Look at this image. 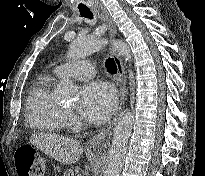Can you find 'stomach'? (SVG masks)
I'll return each mask as SVG.
<instances>
[{"label":"stomach","mask_w":205,"mask_h":176,"mask_svg":"<svg viewBox=\"0 0 205 176\" xmlns=\"http://www.w3.org/2000/svg\"><path fill=\"white\" fill-rule=\"evenodd\" d=\"M31 147V146H30ZM32 148V147H31ZM34 149V148H33ZM69 174H70V172H67L66 174H65V176H69Z\"/></svg>","instance_id":"1"}]
</instances>
